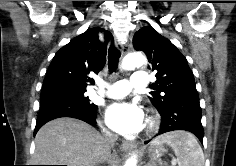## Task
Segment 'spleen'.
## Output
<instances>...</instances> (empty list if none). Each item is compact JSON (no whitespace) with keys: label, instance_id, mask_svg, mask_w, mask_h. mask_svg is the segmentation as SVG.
<instances>
[{"label":"spleen","instance_id":"1","mask_svg":"<svg viewBox=\"0 0 236 166\" xmlns=\"http://www.w3.org/2000/svg\"><path fill=\"white\" fill-rule=\"evenodd\" d=\"M153 143L169 145L178 166H205V157L195 136L185 131H173L156 138Z\"/></svg>","mask_w":236,"mask_h":166}]
</instances>
